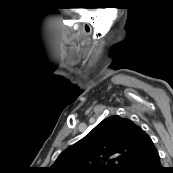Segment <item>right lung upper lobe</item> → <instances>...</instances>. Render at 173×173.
<instances>
[{
    "mask_svg": "<svg viewBox=\"0 0 173 173\" xmlns=\"http://www.w3.org/2000/svg\"><path fill=\"white\" fill-rule=\"evenodd\" d=\"M154 147L141 127L129 119L110 116L62 152L49 173H121L131 160Z\"/></svg>",
    "mask_w": 173,
    "mask_h": 173,
    "instance_id": "obj_1",
    "label": "right lung upper lobe"
}]
</instances>
